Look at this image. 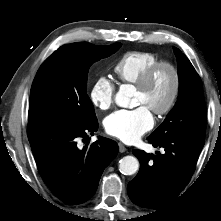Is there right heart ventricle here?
Listing matches in <instances>:
<instances>
[{
  "instance_id": "right-heart-ventricle-1",
  "label": "right heart ventricle",
  "mask_w": 221,
  "mask_h": 221,
  "mask_svg": "<svg viewBox=\"0 0 221 221\" xmlns=\"http://www.w3.org/2000/svg\"><path fill=\"white\" fill-rule=\"evenodd\" d=\"M157 61L158 56L151 52H127L114 64L113 71L120 82L135 84L144 71Z\"/></svg>"
}]
</instances>
